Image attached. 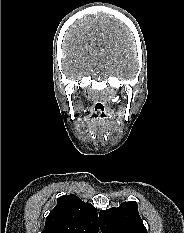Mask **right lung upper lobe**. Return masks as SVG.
I'll use <instances>...</instances> for the list:
<instances>
[{
    "mask_svg": "<svg viewBox=\"0 0 184 233\" xmlns=\"http://www.w3.org/2000/svg\"><path fill=\"white\" fill-rule=\"evenodd\" d=\"M42 233H98L97 211L76 195L61 196L47 216Z\"/></svg>",
    "mask_w": 184,
    "mask_h": 233,
    "instance_id": "obj_1",
    "label": "right lung upper lobe"
}]
</instances>
